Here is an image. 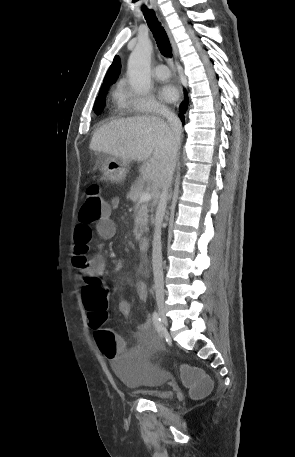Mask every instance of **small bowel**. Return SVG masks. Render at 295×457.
Here are the masks:
<instances>
[{
    "label": "small bowel",
    "instance_id": "small-bowel-1",
    "mask_svg": "<svg viewBox=\"0 0 295 457\" xmlns=\"http://www.w3.org/2000/svg\"><path fill=\"white\" fill-rule=\"evenodd\" d=\"M119 205L120 199L118 197L112 198L108 204L109 214L101 219L95 226L97 235L103 240H110L116 234V226L110 217V213L112 210L117 209ZM92 235L93 231L90 226L78 224L75 230V250L78 247H85L87 250H89ZM104 268L105 257L102 254H95L88 258L87 268L83 271H80V274L78 275L79 281L83 283V288L87 285V275L93 274L102 276L104 273ZM136 292L140 300L146 302L148 298V289L144 282L140 281L137 283ZM118 309L123 316L127 317L131 314V304L127 300H121L118 304ZM140 331L145 338H154L155 341L157 340V334L149 318L140 326Z\"/></svg>",
    "mask_w": 295,
    "mask_h": 457
}]
</instances>
